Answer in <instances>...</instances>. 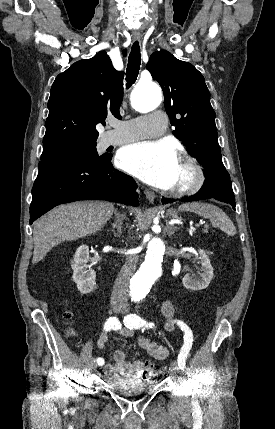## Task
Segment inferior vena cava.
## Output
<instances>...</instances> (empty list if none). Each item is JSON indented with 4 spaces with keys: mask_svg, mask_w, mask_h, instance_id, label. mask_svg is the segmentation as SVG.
Returning <instances> with one entry per match:
<instances>
[{
    "mask_svg": "<svg viewBox=\"0 0 275 429\" xmlns=\"http://www.w3.org/2000/svg\"><path fill=\"white\" fill-rule=\"evenodd\" d=\"M138 257L131 255L127 258L125 264L120 270L118 277L115 280L111 302L126 304L129 292V280L136 269Z\"/></svg>",
    "mask_w": 275,
    "mask_h": 429,
    "instance_id": "obj_1",
    "label": "inferior vena cava"
}]
</instances>
